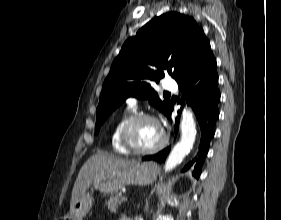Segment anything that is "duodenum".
I'll return each mask as SVG.
<instances>
[{"label":"duodenum","instance_id":"1","mask_svg":"<svg viewBox=\"0 0 281 220\" xmlns=\"http://www.w3.org/2000/svg\"><path fill=\"white\" fill-rule=\"evenodd\" d=\"M123 220H131V219H128V218H127V219H123Z\"/></svg>","mask_w":281,"mask_h":220}]
</instances>
